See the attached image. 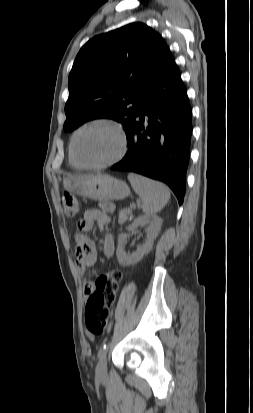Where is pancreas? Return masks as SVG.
<instances>
[{
  "instance_id": "1",
  "label": "pancreas",
  "mask_w": 253,
  "mask_h": 413,
  "mask_svg": "<svg viewBox=\"0 0 253 413\" xmlns=\"http://www.w3.org/2000/svg\"><path fill=\"white\" fill-rule=\"evenodd\" d=\"M131 209H122L120 212H119V219H118V222L120 223V224H122V223H124L127 219H128V217L131 215Z\"/></svg>"
}]
</instances>
